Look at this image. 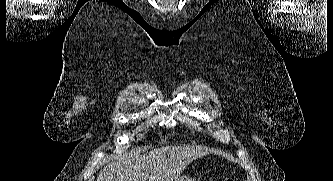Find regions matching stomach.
Wrapping results in <instances>:
<instances>
[{
	"mask_svg": "<svg viewBox=\"0 0 333 181\" xmlns=\"http://www.w3.org/2000/svg\"><path fill=\"white\" fill-rule=\"evenodd\" d=\"M176 181H194V179H192L190 176H180Z\"/></svg>",
	"mask_w": 333,
	"mask_h": 181,
	"instance_id": "0dacf381",
	"label": "stomach"
}]
</instances>
